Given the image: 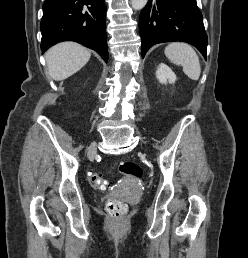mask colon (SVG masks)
I'll use <instances>...</instances> for the list:
<instances>
[{"mask_svg":"<svg viewBox=\"0 0 248 258\" xmlns=\"http://www.w3.org/2000/svg\"><path fill=\"white\" fill-rule=\"evenodd\" d=\"M119 171L122 174H125L135 179H140L143 176V170L141 166L131 161L120 163ZM90 179L92 183L100 190H106L109 188V181L107 179H104L99 172H92L90 174ZM106 209L112 217L121 218L126 213L127 206L124 202L111 198L108 199L106 202Z\"/></svg>","mask_w":248,"mask_h":258,"instance_id":"obj_1","label":"colon"}]
</instances>
